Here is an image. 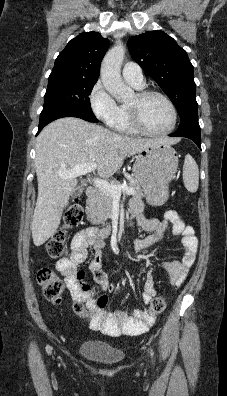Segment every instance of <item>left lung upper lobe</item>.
Instances as JSON below:
<instances>
[{"mask_svg": "<svg viewBox=\"0 0 227 396\" xmlns=\"http://www.w3.org/2000/svg\"><path fill=\"white\" fill-rule=\"evenodd\" d=\"M132 58L158 83L177 108L180 119L198 110L193 66L184 49L163 31L128 40Z\"/></svg>", "mask_w": 227, "mask_h": 396, "instance_id": "left-lung-upper-lobe-1", "label": "left lung upper lobe"}]
</instances>
